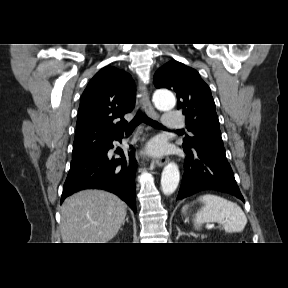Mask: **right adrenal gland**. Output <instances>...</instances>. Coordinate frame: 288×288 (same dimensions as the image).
Returning a JSON list of instances; mask_svg holds the SVG:
<instances>
[{
	"label": "right adrenal gland",
	"mask_w": 288,
	"mask_h": 288,
	"mask_svg": "<svg viewBox=\"0 0 288 288\" xmlns=\"http://www.w3.org/2000/svg\"><path fill=\"white\" fill-rule=\"evenodd\" d=\"M126 221L128 222V217L126 218Z\"/></svg>",
	"instance_id": "obj_1"
}]
</instances>
